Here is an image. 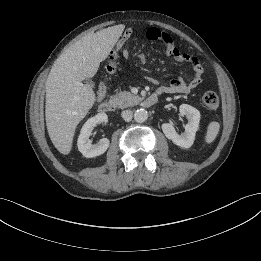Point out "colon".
Returning a JSON list of instances; mask_svg holds the SVG:
<instances>
[{"label":"colon","mask_w":261,"mask_h":261,"mask_svg":"<svg viewBox=\"0 0 261 261\" xmlns=\"http://www.w3.org/2000/svg\"><path fill=\"white\" fill-rule=\"evenodd\" d=\"M133 36V31L131 29H126L123 32V36L119 38V41L115 45V50L118 52H113L109 63L107 65V71L109 73H114L117 69V62L122 59L121 53L124 48L131 42ZM104 87L101 86L99 90H102ZM202 102L204 106L209 110H215L219 106V97L213 91H207L202 96Z\"/></svg>","instance_id":"colon-1"}]
</instances>
